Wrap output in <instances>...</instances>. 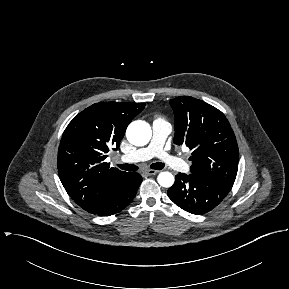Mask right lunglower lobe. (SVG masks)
<instances>
[{
	"instance_id": "98d812e1",
	"label": "right lung lower lobe",
	"mask_w": 289,
	"mask_h": 289,
	"mask_svg": "<svg viewBox=\"0 0 289 289\" xmlns=\"http://www.w3.org/2000/svg\"><path fill=\"white\" fill-rule=\"evenodd\" d=\"M141 181L142 177L140 174L130 172L120 189L111 198L95 207L89 213L99 216H110L121 211L134 199Z\"/></svg>"
}]
</instances>
